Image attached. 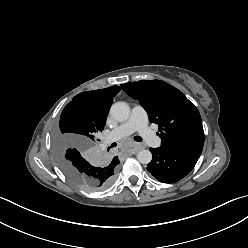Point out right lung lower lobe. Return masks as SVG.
<instances>
[{
    "label": "right lung lower lobe",
    "instance_id": "1",
    "mask_svg": "<svg viewBox=\"0 0 248 248\" xmlns=\"http://www.w3.org/2000/svg\"><path fill=\"white\" fill-rule=\"evenodd\" d=\"M72 150H73V151H72L70 154H68V158H69L71 161H74V160H76L75 155H76V153H77V149L73 148Z\"/></svg>",
    "mask_w": 248,
    "mask_h": 248
}]
</instances>
